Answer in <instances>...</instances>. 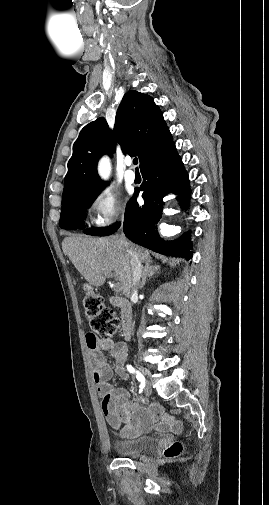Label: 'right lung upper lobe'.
<instances>
[{
	"label": "right lung upper lobe",
	"mask_w": 269,
	"mask_h": 505,
	"mask_svg": "<svg viewBox=\"0 0 269 505\" xmlns=\"http://www.w3.org/2000/svg\"><path fill=\"white\" fill-rule=\"evenodd\" d=\"M116 141L124 154L139 157L140 168L172 142L163 114L153 98L129 91L118 107L113 132L102 117L81 130L68 162L62 202L80 192L105 186L98 177L96 165L102 155L115 151Z\"/></svg>",
	"instance_id": "1"
}]
</instances>
